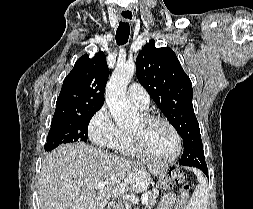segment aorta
<instances>
[{
	"mask_svg": "<svg viewBox=\"0 0 253 209\" xmlns=\"http://www.w3.org/2000/svg\"><path fill=\"white\" fill-rule=\"evenodd\" d=\"M134 72L133 62L117 64L106 86V103L116 125L120 128L130 126L138 116L126 95L127 85Z\"/></svg>",
	"mask_w": 253,
	"mask_h": 209,
	"instance_id": "obj_1",
	"label": "aorta"
}]
</instances>
